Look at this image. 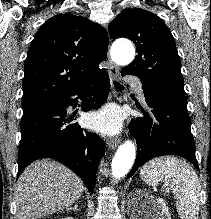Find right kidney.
I'll return each mask as SVG.
<instances>
[{"label": "right kidney", "mask_w": 211, "mask_h": 219, "mask_svg": "<svg viewBox=\"0 0 211 219\" xmlns=\"http://www.w3.org/2000/svg\"><path fill=\"white\" fill-rule=\"evenodd\" d=\"M63 219H74L73 217H66V218H63Z\"/></svg>", "instance_id": "ca27d5eb"}]
</instances>
